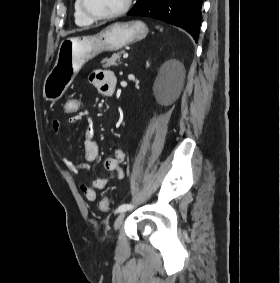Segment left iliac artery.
Here are the masks:
<instances>
[{
	"instance_id": "obj_1",
	"label": "left iliac artery",
	"mask_w": 280,
	"mask_h": 283,
	"mask_svg": "<svg viewBox=\"0 0 280 283\" xmlns=\"http://www.w3.org/2000/svg\"><path fill=\"white\" fill-rule=\"evenodd\" d=\"M133 206L131 204H122L116 209V213L123 212L131 209Z\"/></svg>"
}]
</instances>
